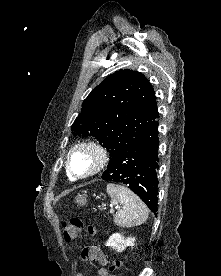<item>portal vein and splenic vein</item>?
I'll return each instance as SVG.
<instances>
[{
	"label": "portal vein and splenic vein",
	"mask_w": 221,
	"mask_h": 276,
	"mask_svg": "<svg viewBox=\"0 0 221 276\" xmlns=\"http://www.w3.org/2000/svg\"><path fill=\"white\" fill-rule=\"evenodd\" d=\"M118 208V206H116V209ZM114 209H113V207L111 206V208H110V213H114Z\"/></svg>",
	"instance_id": "obj_1"
}]
</instances>
